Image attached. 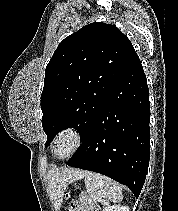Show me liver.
<instances>
[{
    "label": "liver",
    "instance_id": "obj_1",
    "mask_svg": "<svg viewBox=\"0 0 178 211\" xmlns=\"http://www.w3.org/2000/svg\"><path fill=\"white\" fill-rule=\"evenodd\" d=\"M84 172L77 169L56 167L47 173L48 190L57 211L60 209L64 192L68 184L83 178Z\"/></svg>",
    "mask_w": 178,
    "mask_h": 211
}]
</instances>
